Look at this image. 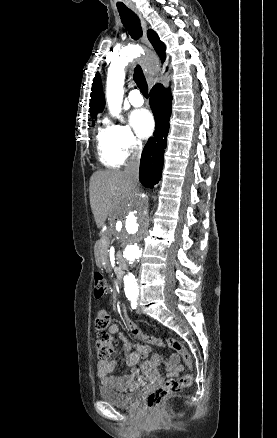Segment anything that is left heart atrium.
Segmentation results:
<instances>
[{
	"label": "left heart atrium",
	"instance_id": "39dd6f15",
	"mask_svg": "<svg viewBox=\"0 0 277 438\" xmlns=\"http://www.w3.org/2000/svg\"><path fill=\"white\" fill-rule=\"evenodd\" d=\"M134 129L141 138H147L153 130L152 114L146 109L136 110L131 115Z\"/></svg>",
	"mask_w": 277,
	"mask_h": 438
}]
</instances>
